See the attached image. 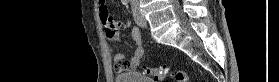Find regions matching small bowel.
<instances>
[{
	"mask_svg": "<svg viewBox=\"0 0 279 82\" xmlns=\"http://www.w3.org/2000/svg\"><path fill=\"white\" fill-rule=\"evenodd\" d=\"M100 6L105 5L104 0L99 1ZM131 26V22L129 20L121 22L115 21L111 28H106V37L109 40L116 41L119 38V29L121 28H129ZM131 39L134 43V51L129 61L124 60V55L122 53H116L114 56L115 61V71L116 73H125L128 71L135 70L141 63V60L144 56V47L143 41L141 37V32L139 28L133 27L131 29Z\"/></svg>",
	"mask_w": 279,
	"mask_h": 82,
	"instance_id": "obj_1",
	"label": "small bowel"
}]
</instances>
